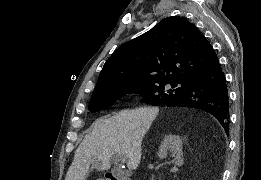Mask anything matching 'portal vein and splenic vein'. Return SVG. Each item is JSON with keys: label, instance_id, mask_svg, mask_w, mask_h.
Listing matches in <instances>:
<instances>
[{"label": "portal vein and splenic vein", "instance_id": "obj_1", "mask_svg": "<svg viewBox=\"0 0 261 180\" xmlns=\"http://www.w3.org/2000/svg\"><path fill=\"white\" fill-rule=\"evenodd\" d=\"M121 162H127V156H126V154H124V156H122Z\"/></svg>", "mask_w": 261, "mask_h": 180}]
</instances>
